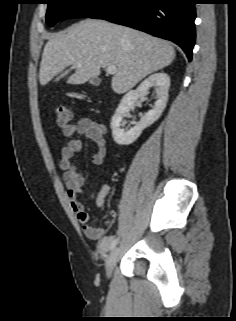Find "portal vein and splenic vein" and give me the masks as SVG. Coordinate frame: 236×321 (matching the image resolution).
<instances>
[{"label": "portal vein and splenic vein", "instance_id": "obj_1", "mask_svg": "<svg viewBox=\"0 0 236 321\" xmlns=\"http://www.w3.org/2000/svg\"><path fill=\"white\" fill-rule=\"evenodd\" d=\"M77 66L80 67L81 64H77ZM106 72H107L108 74H110V75H114V74L117 72V67L114 66V65L108 66V67L106 68Z\"/></svg>", "mask_w": 236, "mask_h": 321}]
</instances>
